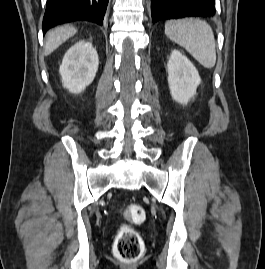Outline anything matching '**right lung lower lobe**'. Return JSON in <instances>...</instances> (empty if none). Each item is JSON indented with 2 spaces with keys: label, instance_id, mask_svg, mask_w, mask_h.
<instances>
[{
  "label": "right lung lower lobe",
  "instance_id": "obj_1",
  "mask_svg": "<svg viewBox=\"0 0 265 269\" xmlns=\"http://www.w3.org/2000/svg\"><path fill=\"white\" fill-rule=\"evenodd\" d=\"M109 0H47L42 28L45 33L58 24L87 20L103 24Z\"/></svg>",
  "mask_w": 265,
  "mask_h": 269
}]
</instances>
